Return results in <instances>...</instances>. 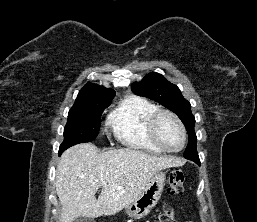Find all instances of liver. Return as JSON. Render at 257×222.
Returning <instances> with one entry per match:
<instances>
[{
	"label": "liver",
	"instance_id": "obj_1",
	"mask_svg": "<svg viewBox=\"0 0 257 222\" xmlns=\"http://www.w3.org/2000/svg\"><path fill=\"white\" fill-rule=\"evenodd\" d=\"M183 164L181 159L157 157L132 148L101 153L91 143L75 145L62 154L56 171L60 222H73L80 216L115 215L141 194L155 173Z\"/></svg>",
	"mask_w": 257,
	"mask_h": 222
}]
</instances>
